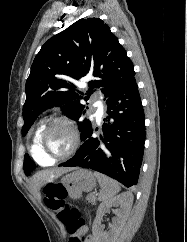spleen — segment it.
Masks as SVG:
<instances>
[{
  "label": "spleen",
  "mask_w": 187,
  "mask_h": 242,
  "mask_svg": "<svg viewBox=\"0 0 187 242\" xmlns=\"http://www.w3.org/2000/svg\"><path fill=\"white\" fill-rule=\"evenodd\" d=\"M93 175L96 177L101 187L99 194L100 201L105 202L110 200L120 191V186L115 180L98 172H94Z\"/></svg>",
  "instance_id": "1"
}]
</instances>
